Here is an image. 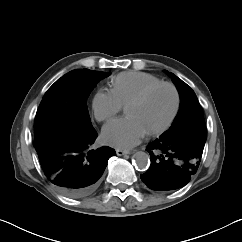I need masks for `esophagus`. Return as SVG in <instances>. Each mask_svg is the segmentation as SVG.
I'll return each mask as SVG.
<instances>
[{
    "instance_id": "1",
    "label": "esophagus",
    "mask_w": 242,
    "mask_h": 242,
    "mask_svg": "<svg viewBox=\"0 0 242 242\" xmlns=\"http://www.w3.org/2000/svg\"><path fill=\"white\" fill-rule=\"evenodd\" d=\"M130 153H131V152L128 151V150H122V149H117V150H116V154H117L118 156L127 155V154H130Z\"/></svg>"
}]
</instances>
